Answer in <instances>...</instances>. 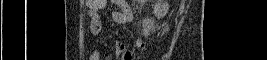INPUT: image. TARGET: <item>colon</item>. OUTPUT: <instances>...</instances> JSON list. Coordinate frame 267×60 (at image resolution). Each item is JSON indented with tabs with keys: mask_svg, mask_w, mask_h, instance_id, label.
I'll return each mask as SVG.
<instances>
[{
	"mask_svg": "<svg viewBox=\"0 0 267 60\" xmlns=\"http://www.w3.org/2000/svg\"><path fill=\"white\" fill-rule=\"evenodd\" d=\"M92 1H93L94 5L96 7H98L101 4V1L100 0H92Z\"/></svg>",
	"mask_w": 267,
	"mask_h": 60,
	"instance_id": "colon-1",
	"label": "colon"
}]
</instances>
